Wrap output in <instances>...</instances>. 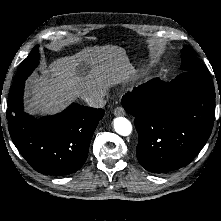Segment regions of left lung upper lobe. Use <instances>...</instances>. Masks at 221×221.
I'll return each mask as SVG.
<instances>
[{
    "label": "left lung upper lobe",
    "mask_w": 221,
    "mask_h": 221,
    "mask_svg": "<svg viewBox=\"0 0 221 221\" xmlns=\"http://www.w3.org/2000/svg\"><path fill=\"white\" fill-rule=\"evenodd\" d=\"M181 70L182 71H191V72H199L205 73V70L197 58L195 51L190 46H184L181 51Z\"/></svg>",
    "instance_id": "obj_1"
}]
</instances>
